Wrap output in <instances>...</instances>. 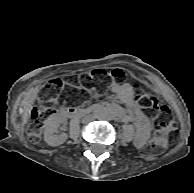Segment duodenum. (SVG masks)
<instances>
[{
    "instance_id": "duodenum-1",
    "label": "duodenum",
    "mask_w": 194,
    "mask_h": 193,
    "mask_svg": "<svg viewBox=\"0 0 194 193\" xmlns=\"http://www.w3.org/2000/svg\"><path fill=\"white\" fill-rule=\"evenodd\" d=\"M91 111L95 112V109H92ZM62 112L69 117H78L83 114L85 110L76 107H67Z\"/></svg>"
}]
</instances>
